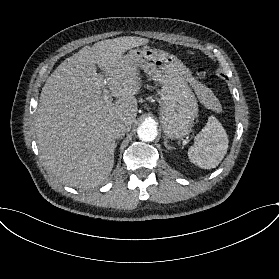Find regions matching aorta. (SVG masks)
Masks as SVG:
<instances>
[{"label":"aorta","mask_w":279,"mask_h":279,"mask_svg":"<svg viewBox=\"0 0 279 279\" xmlns=\"http://www.w3.org/2000/svg\"><path fill=\"white\" fill-rule=\"evenodd\" d=\"M137 134L140 140L144 142H150L155 140L158 131L154 123L143 122L137 129Z\"/></svg>","instance_id":"1"}]
</instances>
